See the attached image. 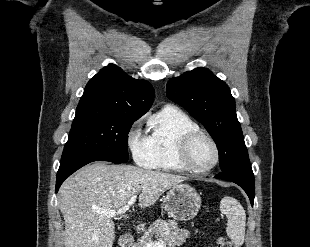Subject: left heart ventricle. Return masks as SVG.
<instances>
[{"label":"left heart ventricle","mask_w":310,"mask_h":247,"mask_svg":"<svg viewBox=\"0 0 310 247\" xmlns=\"http://www.w3.org/2000/svg\"><path fill=\"white\" fill-rule=\"evenodd\" d=\"M191 163L197 168L211 165L215 159V151L211 143L205 138L197 139L191 149Z\"/></svg>","instance_id":"1"}]
</instances>
